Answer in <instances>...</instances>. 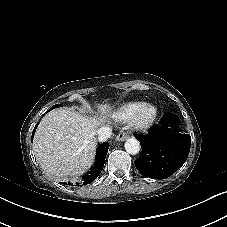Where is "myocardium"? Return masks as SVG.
<instances>
[{"mask_svg":"<svg viewBox=\"0 0 227 227\" xmlns=\"http://www.w3.org/2000/svg\"><path fill=\"white\" fill-rule=\"evenodd\" d=\"M158 115L157 107L152 103H142L129 117L128 125L135 131H145L152 126Z\"/></svg>","mask_w":227,"mask_h":227,"instance_id":"myocardium-1","label":"myocardium"}]
</instances>
